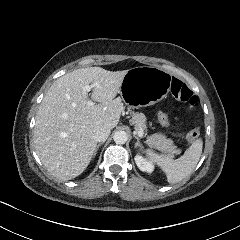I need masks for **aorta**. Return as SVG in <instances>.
<instances>
[{"label": "aorta", "mask_w": 240, "mask_h": 240, "mask_svg": "<svg viewBox=\"0 0 240 240\" xmlns=\"http://www.w3.org/2000/svg\"><path fill=\"white\" fill-rule=\"evenodd\" d=\"M113 140L116 144H125L128 140V135L125 131H116L113 135Z\"/></svg>", "instance_id": "1"}]
</instances>
